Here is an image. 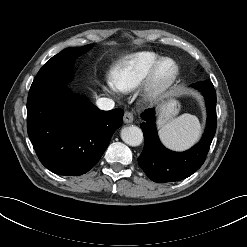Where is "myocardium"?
I'll return each instance as SVG.
<instances>
[{
	"label": "myocardium",
	"mask_w": 247,
	"mask_h": 247,
	"mask_svg": "<svg viewBox=\"0 0 247 247\" xmlns=\"http://www.w3.org/2000/svg\"><path fill=\"white\" fill-rule=\"evenodd\" d=\"M170 63L172 72L165 78L160 77V69L164 63ZM179 75V66L176 61L169 57L159 59L149 71L142 83L140 96L144 102H151L164 94L176 81Z\"/></svg>",
	"instance_id": "1"
}]
</instances>
